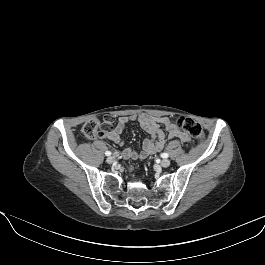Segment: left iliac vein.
Segmentation results:
<instances>
[{
  "label": "left iliac vein",
  "instance_id": "left-iliac-vein-1",
  "mask_svg": "<svg viewBox=\"0 0 265 265\" xmlns=\"http://www.w3.org/2000/svg\"><path fill=\"white\" fill-rule=\"evenodd\" d=\"M170 164H171V162H170V160H168V159H163V160L161 161V163H160V165H161L162 167H164V168L169 167Z\"/></svg>",
  "mask_w": 265,
  "mask_h": 265
}]
</instances>
